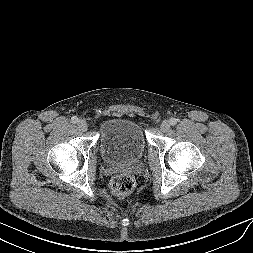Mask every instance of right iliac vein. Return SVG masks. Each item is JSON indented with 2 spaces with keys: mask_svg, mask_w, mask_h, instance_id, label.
<instances>
[{
  "mask_svg": "<svg viewBox=\"0 0 253 253\" xmlns=\"http://www.w3.org/2000/svg\"><path fill=\"white\" fill-rule=\"evenodd\" d=\"M77 126L81 131H86L88 129L86 121L82 119L78 121Z\"/></svg>",
  "mask_w": 253,
  "mask_h": 253,
  "instance_id": "63e3f726",
  "label": "right iliac vein"
}]
</instances>
